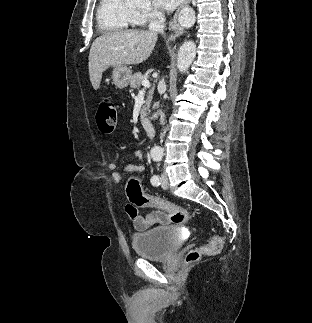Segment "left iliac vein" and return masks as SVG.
<instances>
[{"label":"left iliac vein","mask_w":312,"mask_h":323,"mask_svg":"<svg viewBox=\"0 0 312 323\" xmlns=\"http://www.w3.org/2000/svg\"><path fill=\"white\" fill-rule=\"evenodd\" d=\"M168 186H169L168 176L165 172H163L161 175V187L163 189H166V188H168Z\"/></svg>","instance_id":"left-iliac-vein-1"}]
</instances>
